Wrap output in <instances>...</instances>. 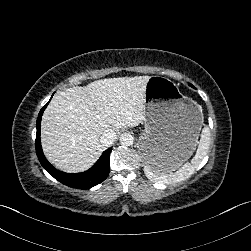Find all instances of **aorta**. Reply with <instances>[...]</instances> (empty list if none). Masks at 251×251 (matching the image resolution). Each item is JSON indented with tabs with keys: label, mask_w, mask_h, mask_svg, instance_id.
I'll use <instances>...</instances> for the list:
<instances>
[{
	"label": "aorta",
	"mask_w": 251,
	"mask_h": 251,
	"mask_svg": "<svg viewBox=\"0 0 251 251\" xmlns=\"http://www.w3.org/2000/svg\"><path fill=\"white\" fill-rule=\"evenodd\" d=\"M134 143V136L131 133H122L120 135V144L123 146H130Z\"/></svg>",
	"instance_id": "1"
}]
</instances>
